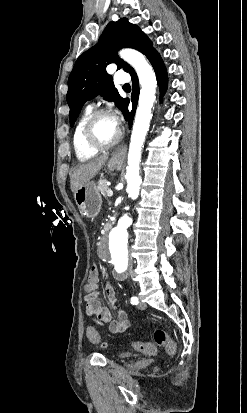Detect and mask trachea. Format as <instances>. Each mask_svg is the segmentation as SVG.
I'll use <instances>...</instances> for the list:
<instances>
[{
  "label": "trachea",
  "instance_id": "obj_1",
  "mask_svg": "<svg viewBox=\"0 0 247 413\" xmlns=\"http://www.w3.org/2000/svg\"><path fill=\"white\" fill-rule=\"evenodd\" d=\"M123 90H131V87H130L129 83H125L123 85Z\"/></svg>",
  "mask_w": 247,
  "mask_h": 413
}]
</instances>
